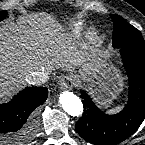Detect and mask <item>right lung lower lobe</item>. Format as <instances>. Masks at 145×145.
Segmentation results:
<instances>
[{"instance_id":"98d812e1","label":"right lung lower lobe","mask_w":145,"mask_h":145,"mask_svg":"<svg viewBox=\"0 0 145 145\" xmlns=\"http://www.w3.org/2000/svg\"><path fill=\"white\" fill-rule=\"evenodd\" d=\"M48 97L44 87H29L17 94L10 102L0 104V137L18 140L32 132L29 116Z\"/></svg>"}]
</instances>
